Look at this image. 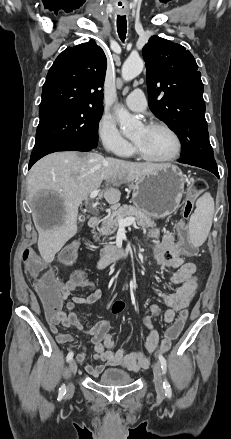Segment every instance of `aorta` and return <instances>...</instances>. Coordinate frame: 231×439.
<instances>
[{
	"instance_id": "1",
	"label": "aorta",
	"mask_w": 231,
	"mask_h": 439,
	"mask_svg": "<svg viewBox=\"0 0 231 439\" xmlns=\"http://www.w3.org/2000/svg\"><path fill=\"white\" fill-rule=\"evenodd\" d=\"M143 67L144 63L140 57H129L122 66V78L125 81L134 79L142 72ZM116 115L120 128L126 137H131L141 126L140 121L123 106L117 108Z\"/></svg>"
}]
</instances>
